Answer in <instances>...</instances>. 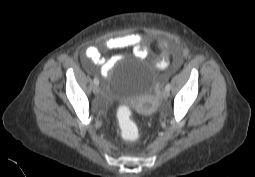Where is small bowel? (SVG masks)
<instances>
[{
  "label": "small bowel",
  "instance_id": "obj_1",
  "mask_svg": "<svg viewBox=\"0 0 255 177\" xmlns=\"http://www.w3.org/2000/svg\"><path fill=\"white\" fill-rule=\"evenodd\" d=\"M105 47L109 50L132 48L135 54L140 57L146 56L149 52L148 46L144 43V37L140 33H127L108 38L105 41ZM120 59V55L103 57L96 46H89L84 54V61L86 65L90 62L100 66V73L102 77H107L111 69L118 61H120Z\"/></svg>",
  "mask_w": 255,
  "mask_h": 177
}]
</instances>
